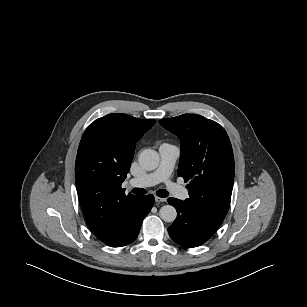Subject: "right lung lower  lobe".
Returning <instances> with one entry per match:
<instances>
[{"instance_id": "1", "label": "right lung lower lobe", "mask_w": 307, "mask_h": 307, "mask_svg": "<svg viewBox=\"0 0 307 307\" xmlns=\"http://www.w3.org/2000/svg\"><path fill=\"white\" fill-rule=\"evenodd\" d=\"M154 203V196L153 195H143L142 196V205L138 210L132 225L127 232V234L122 238L120 241L116 242L115 244L109 245L112 247H122L132 243L138 236L140 231V227L144 217L150 212Z\"/></svg>"}]
</instances>
